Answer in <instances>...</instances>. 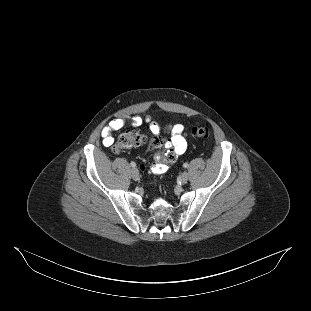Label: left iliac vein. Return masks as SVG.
<instances>
[{
    "mask_svg": "<svg viewBox=\"0 0 311 311\" xmlns=\"http://www.w3.org/2000/svg\"><path fill=\"white\" fill-rule=\"evenodd\" d=\"M188 178H189V175H188L187 172L182 173L181 176H180V178H179L180 183H181V184H186L187 181H188Z\"/></svg>",
    "mask_w": 311,
    "mask_h": 311,
    "instance_id": "1",
    "label": "left iliac vein"
}]
</instances>
